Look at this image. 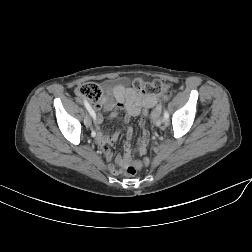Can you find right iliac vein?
Wrapping results in <instances>:
<instances>
[{
  "label": "right iliac vein",
  "instance_id": "1",
  "mask_svg": "<svg viewBox=\"0 0 252 252\" xmlns=\"http://www.w3.org/2000/svg\"><path fill=\"white\" fill-rule=\"evenodd\" d=\"M84 123L87 127H90L92 125V119L89 115H87L84 119Z\"/></svg>",
  "mask_w": 252,
  "mask_h": 252
}]
</instances>
